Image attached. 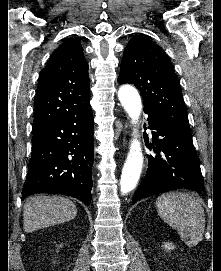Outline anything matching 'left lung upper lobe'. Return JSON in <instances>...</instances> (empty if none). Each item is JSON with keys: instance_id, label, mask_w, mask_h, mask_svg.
I'll list each match as a JSON object with an SVG mask.
<instances>
[{"instance_id": "1", "label": "left lung upper lobe", "mask_w": 221, "mask_h": 271, "mask_svg": "<svg viewBox=\"0 0 221 271\" xmlns=\"http://www.w3.org/2000/svg\"><path fill=\"white\" fill-rule=\"evenodd\" d=\"M118 83L134 84L144 110L191 134L187 110L173 66L161 47L143 35L132 37L121 63Z\"/></svg>"}]
</instances>
